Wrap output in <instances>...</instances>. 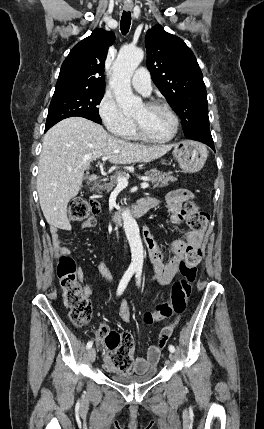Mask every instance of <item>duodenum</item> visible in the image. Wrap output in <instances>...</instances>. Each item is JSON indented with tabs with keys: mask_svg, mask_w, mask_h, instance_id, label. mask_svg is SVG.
Returning <instances> with one entry per match:
<instances>
[{
	"mask_svg": "<svg viewBox=\"0 0 264 429\" xmlns=\"http://www.w3.org/2000/svg\"><path fill=\"white\" fill-rule=\"evenodd\" d=\"M99 179V176L96 174H92L89 177V180L94 182ZM150 210V205L144 202L137 203L130 209V214L135 217H140L146 214ZM109 220L113 225H119L123 220V214L120 212H113L109 216Z\"/></svg>",
	"mask_w": 264,
	"mask_h": 429,
	"instance_id": "duodenum-1",
	"label": "duodenum"
}]
</instances>
